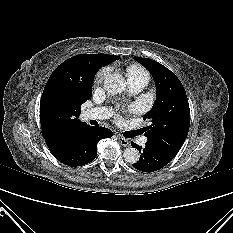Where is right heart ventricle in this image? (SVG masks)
<instances>
[{
  "instance_id": "right-heart-ventricle-1",
  "label": "right heart ventricle",
  "mask_w": 233,
  "mask_h": 233,
  "mask_svg": "<svg viewBox=\"0 0 233 233\" xmlns=\"http://www.w3.org/2000/svg\"><path fill=\"white\" fill-rule=\"evenodd\" d=\"M127 75H128V78H141V79H144L146 82L149 79V75L147 71L144 68L137 66V65L128 67Z\"/></svg>"
}]
</instances>
